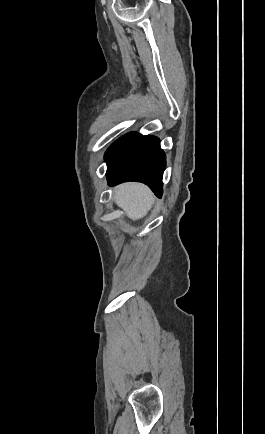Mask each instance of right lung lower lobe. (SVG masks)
I'll return each mask as SVG.
<instances>
[{"label":"right lung lower lobe","mask_w":265,"mask_h":434,"mask_svg":"<svg viewBox=\"0 0 265 434\" xmlns=\"http://www.w3.org/2000/svg\"><path fill=\"white\" fill-rule=\"evenodd\" d=\"M105 159L109 186L124 181H139L161 197L166 161L158 138L128 133L111 145Z\"/></svg>","instance_id":"right-lung-lower-lobe-1"}]
</instances>
